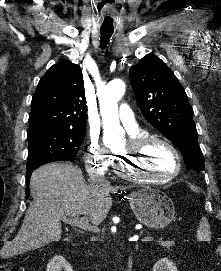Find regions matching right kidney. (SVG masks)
I'll return each instance as SVG.
<instances>
[{"label": "right kidney", "instance_id": "right-kidney-1", "mask_svg": "<svg viewBox=\"0 0 221 271\" xmlns=\"http://www.w3.org/2000/svg\"><path fill=\"white\" fill-rule=\"evenodd\" d=\"M46 271H73V269L63 255H54L47 263Z\"/></svg>", "mask_w": 221, "mask_h": 271}]
</instances>
